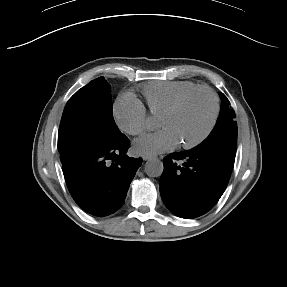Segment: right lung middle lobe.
<instances>
[{
    "instance_id": "obj_1",
    "label": "right lung middle lobe",
    "mask_w": 287,
    "mask_h": 287,
    "mask_svg": "<svg viewBox=\"0 0 287 287\" xmlns=\"http://www.w3.org/2000/svg\"><path fill=\"white\" fill-rule=\"evenodd\" d=\"M124 134L113 119L110 85L104 77L92 80L67 102L58 132L62 164L117 142Z\"/></svg>"
}]
</instances>
